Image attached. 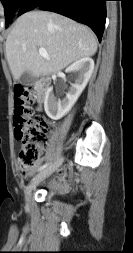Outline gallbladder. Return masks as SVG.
Segmentation results:
<instances>
[{
    "instance_id": "bac80fb5",
    "label": "gallbladder",
    "mask_w": 133,
    "mask_h": 253,
    "mask_svg": "<svg viewBox=\"0 0 133 253\" xmlns=\"http://www.w3.org/2000/svg\"><path fill=\"white\" fill-rule=\"evenodd\" d=\"M36 81V77L29 72H24L18 80V83L23 86L32 85Z\"/></svg>"
}]
</instances>
